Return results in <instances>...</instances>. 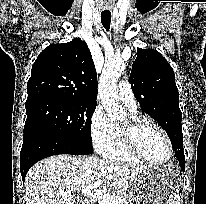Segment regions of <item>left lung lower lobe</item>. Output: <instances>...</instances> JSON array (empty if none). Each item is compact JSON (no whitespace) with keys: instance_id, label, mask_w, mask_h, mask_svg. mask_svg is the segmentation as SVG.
Here are the masks:
<instances>
[{"instance_id":"0a47b994","label":"left lung lower lobe","mask_w":206,"mask_h":204,"mask_svg":"<svg viewBox=\"0 0 206 204\" xmlns=\"http://www.w3.org/2000/svg\"><path fill=\"white\" fill-rule=\"evenodd\" d=\"M176 158L179 160L182 171H185V156L183 150H174Z\"/></svg>"}]
</instances>
